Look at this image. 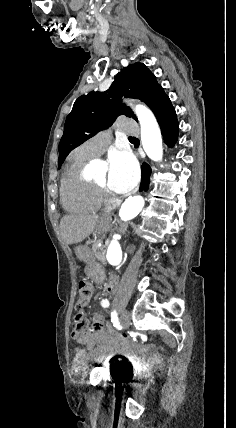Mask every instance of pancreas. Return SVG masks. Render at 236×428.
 <instances>
[{
	"mask_svg": "<svg viewBox=\"0 0 236 428\" xmlns=\"http://www.w3.org/2000/svg\"><path fill=\"white\" fill-rule=\"evenodd\" d=\"M98 244H100V240H94V244L92 246L93 254L99 262H102V264H106V250H104V246L102 248H99Z\"/></svg>",
	"mask_w": 236,
	"mask_h": 428,
	"instance_id": "pancreas-1",
	"label": "pancreas"
}]
</instances>
